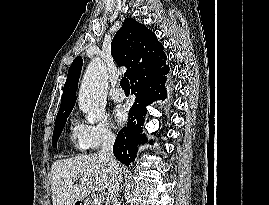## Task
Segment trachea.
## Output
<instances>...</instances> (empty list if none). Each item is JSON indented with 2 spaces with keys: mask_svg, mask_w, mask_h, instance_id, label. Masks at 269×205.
Returning a JSON list of instances; mask_svg holds the SVG:
<instances>
[{
  "mask_svg": "<svg viewBox=\"0 0 269 205\" xmlns=\"http://www.w3.org/2000/svg\"><path fill=\"white\" fill-rule=\"evenodd\" d=\"M120 85L125 92H130L129 80L126 77L121 79Z\"/></svg>",
  "mask_w": 269,
  "mask_h": 205,
  "instance_id": "trachea-1",
  "label": "trachea"
}]
</instances>
